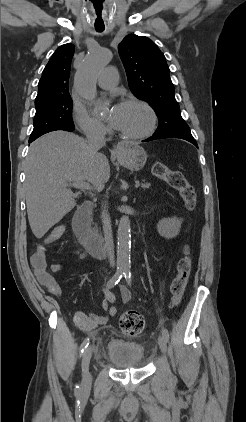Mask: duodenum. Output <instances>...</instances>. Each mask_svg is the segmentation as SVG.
Wrapping results in <instances>:
<instances>
[{
    "label": "duodenum",
    "instance_id": "obj_1",
    "mask_svg": "<svg viewBox=\"0 0 246 422\" xmlns=\"http://www.w3.org/2000/svg\"><path fill=\"white\" fill-rule=\"evenodd\" d=\"M92 208L91 202H86L79 208L73 219V228L79 241L88 251L97 258H103L108 255V248L104 236L91 226Z\"/></svg>",
    "mask_w": 246,
    "mask_h": 422
}]
</instances>
